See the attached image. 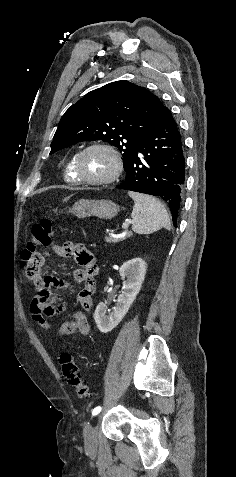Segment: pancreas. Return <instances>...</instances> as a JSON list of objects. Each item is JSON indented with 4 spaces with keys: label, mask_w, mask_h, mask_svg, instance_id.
<instances>
[{
    "label": "pancreas",
    "mask_w": 236,
    "mask_h": 477,
    "mask_svg": "<svg viewBox=\"0 0 236 477\" xmlns=\"http://www.w3.org/2000/svg\"><path fill=\"white\" fill-rule=\"evenodd\" d=\"M132 235V232H127L125 234H121L118 236H105L104 240L105 242L111 244V243H118L120 241L125 240L126 238L130 237Z\"/></svg>",
    "instance_id": "pancreas-1"
}]
</instances>
